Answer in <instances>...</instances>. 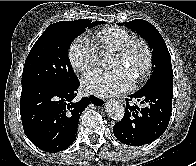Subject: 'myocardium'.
I'll return each mask as SVG.
<instances>
[{
  "label": "myocardium",
  "instance_id": "obj_1",
  "mask_svg": "<svg viewBox=\"0 0 196 166\" xmlns=\"http://www.w3.org/2000/svg\"><path fill=\"white\" fill-rule=\"evenodd\" d=\"M138 47L142 48L145 53V64L139 74L136 76V81L140 83L149 77L153 66V53L149 44L143 39H132L123 48L116 51V55L122 59H128Z\"/></svg>",
  "mask_w": 196,
  "mask_h": 166
}]
</instances>
